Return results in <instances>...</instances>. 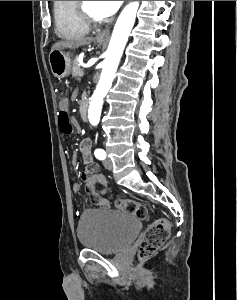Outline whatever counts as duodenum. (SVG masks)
<instances>
[{"label":"duodenum","mask_w":237,"mask_h":300,"mask_svg":"<svg viewBox=\"0 0 237 300\" xmlns=\"http://www.w3.org/2000/svg\"><path fill=\"white\" fill-rule=\"evenodd\" d=\"M87 111H88V103H87V101L82 100L79 105V114H80L82 121H86Z\"/></svg>","instance_id":"obj_1"}]
</instances>
